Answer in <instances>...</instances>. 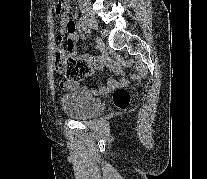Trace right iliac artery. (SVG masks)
<instances>
[{
    "label": "right iliac artery",
    "mask_w": 207,
    "mask_h": 179,
    "mask_svg": "<svg viewBox=\"0 0 207 179\" xmlns=\"http://www.w3.org/2000/svg\"><path fill=\"white\" fill-rule=\"evenodd\" d=\"M79 23L82 29L85 31V33H89V34L91 33L90 26L87 24L84 18L81 17L79 19Z\"/></svg>",
    "instance_id": "right-iliac-artery-1"
}]
</instances>
